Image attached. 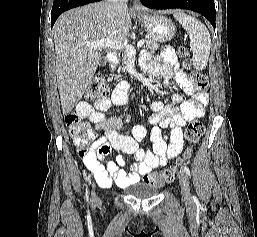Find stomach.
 I'll return each mask as SVG.
<instances>
[{"label":"stomach","instance_id":"1","mask_svg":"<svg viewBox=\"0 0 257 237\" xmlns=\"http://www.w3.org/2000/svg\"><path fill=\"white\" fill-rule=\"evenodd\" d=\"M137 18L144 26L148 36L156 42H167L175 36V25L163 15L145 12L137 15Z\"/></svg>","mask_w":257,"mask_h":237}]
</instances>
